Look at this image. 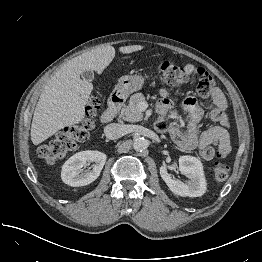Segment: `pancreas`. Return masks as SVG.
Instances as JSON below:
<instances>
[{
  "mask_svg": "<svg viewBox=\"0 0 262 262\" xmlns=\"http://www.w3.org/2000/svg\"><path fill=\"white\" fill-rule=\"evenodd\" d=\"M144 101L145 97L142 93L133 94L128 105L121 109L120 117L129 122L140 121L143 118V114L138 105Z\"/></svg>",
  "mask_w": 262,
  "mask_h": 262,
  "instance_id": "pancreas-1",
  "label": "pancreas"
}]
</instances>
